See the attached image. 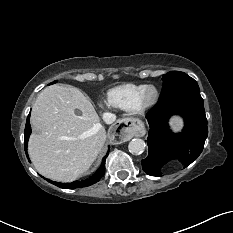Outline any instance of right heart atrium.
<instances>
[{
    "label": "right heart atrium",
    "mask_w": 233,
    "mask_h": 233,
    "mask_svg": "<svg viewBox=\"0 0 233 233\" xmlns=\"http://www.w3.org/2000/svg\"><path fill=\"white\" fill-rule=\"evenodd\" d=\"M99 105H100L101 107H104V106H105L102 102H100Z\"/></svg>",
    "instance_id": "d8ad5b80"
}]
</instances>
